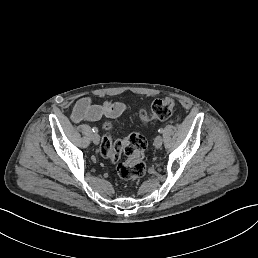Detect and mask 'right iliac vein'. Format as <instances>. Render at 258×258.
<instances>
[{"instance_id": "right-iliac-vein-1", "label": "right iliac vein", "mask_w": 258, "mask_h": 258, "mask_svg": "<svg viewBox=\"0 0 258 258\" xmlns=\"http://www.w3.org/2000/svg\"><path fill=\"white\" fill-rule=\"evenodd\" d=\"M100 135L97 134V132H92V139L94 143H99L100 142Z\"/></svg>"}]
</instances>
